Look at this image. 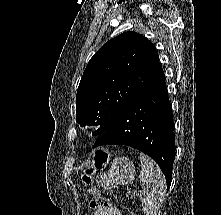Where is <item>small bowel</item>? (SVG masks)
I'll return each mask as SVG.
<instances>
[{"label":"small bowel","instance_id":"small-bowel-1","mask_svg":"<svg viewBox=\"0 0 221 215\" xmlns=\"http://www.w3.org/2000/svg\"><path fill=\"white\" fill-rule=\"evenodd\" d=\"M89 215H123L121 211L115 207H107L100 210H95Z\"/></svg>","mask_w":221,"mask_h":215}]
</instances>
